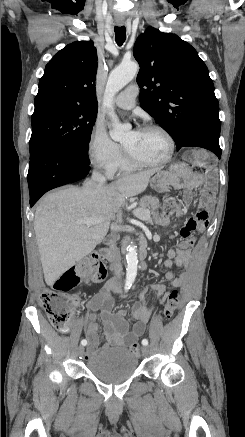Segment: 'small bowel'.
Wrapping results in <instances>:
<instances>
[{"label":"small bowel","instance_id":"obj_1","mask_svg":"<svg viewBox=\"0 0 245 437\" xmlns=\"http://www.w3.org/2000/svg\"><path fill=\"white\" fill-rule=\"evenodd\" d=\"M185 155L188 163H191L196 169L203 168L206 171H211L214 168L209 155L203 154L202 150H187ZM194 186L204 188L201 199L202 210L199 211L195 217L187 220L185 226L180 231V239L176 243V248H169L167 250V259L164 262V266L169 269L165 274V278L174 288L179 287L183 283L184 273L175 276L172 268L175 267L176 270H180L186 269L188 266L191 247L196 243V238L191 235V232L193 230L201 232L208 226L209 209L213 204L214 189L210 183L201 177H197L194 181ZM192 199V194L190 192L186 193V203L190 204ZM176 209L179 215L184 213L183 209L178 207ZM158 221L163 226H168V222L163 217L159 218ZM116 290V283L110 281L106 283L89 302V307L93 311V314L89 317L85 329V335L88 339L87 358L94 357L98 352L99 335L95 313H98L103 323L106 338V343L102 346L101 350H108L113 347H125L144 334L146 324L152 314L153 308H149L144 301L146 292H154L157 295L158 302H162L167 295L166 287L162 283L145 286L140 291L137 299L132 303L131 311L136 322L131 327L125 318L126 310L120 309L116 313L112 312L114 300L111 293Z\"/></svg>","mask_w":245,"mask_h":437}]
</instances>
